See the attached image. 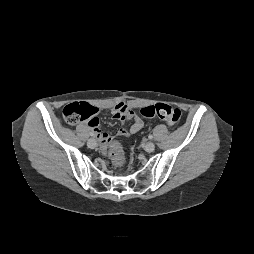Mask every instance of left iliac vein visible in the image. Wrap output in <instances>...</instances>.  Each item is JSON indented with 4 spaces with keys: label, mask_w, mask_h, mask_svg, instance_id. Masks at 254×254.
<instances>
[{
    "label": "left iliac vein",
    "mask_w": 254,
    "mask_h": 254,
    "mask_svg": "<svg viewBox=\"0 0 254 254\" xmlns=\"http://www.w3.org/2000/svg\"><path fill=\"white\" fill-rule=\"evenodd\" d=\"M144 149H145L146 152H149V153H150V152L154 151V149H155V144H154L152 141H148V142L145 144Z\"/></svg>",
    "instance_id": "left-iliac-vein-1"
}]
</instances>
